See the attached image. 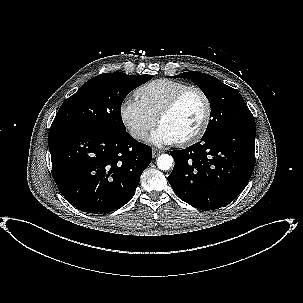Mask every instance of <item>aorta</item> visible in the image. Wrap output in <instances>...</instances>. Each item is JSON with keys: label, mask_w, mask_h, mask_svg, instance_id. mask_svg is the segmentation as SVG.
Segmentation results:
<instances>
[{"label": "aorta", "mask_w": 303, "mask_h": 303, "mask_svg": "<svg viewBox=\"0 0 303 303\" xmlns=\"http://www.w3.org/2000/svg\"><path fill=\"white\" fill-rule=\"evenodd\" d=\"M174 159L171 155L162 154L157 159V166L160 170L167 171L173 165Z\"/></svg>", "instance_id": "obj_1"}]
</instances>
